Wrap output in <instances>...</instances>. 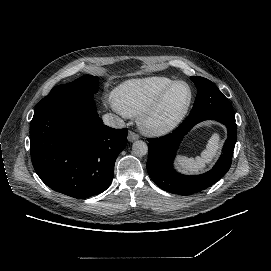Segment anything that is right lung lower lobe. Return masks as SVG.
<instances>
[{
    "mask_svg": "<svg viewBox=\"0 0 271 271\" xmlns=\"http://www.w3.org/2000/svg\"><path fill=\"white\" fill-rule=\"evenodd\" d=\"M127 129L103 125L95 103H61L34 112L30 151L34 169L51 189L77 199L105 191Z\"/></svg>",
    "mask_w": 271,
    "mask_h": 271,
    "instance_id": "98d812e1",
    "label": "right lung lower lobe"
}]
</instances>
